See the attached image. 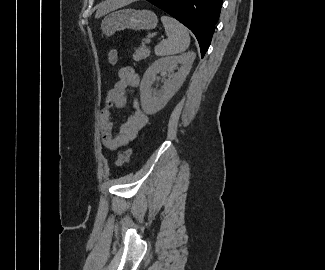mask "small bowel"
Listing matches in <instances>:
<instances>
[{
	"mask_svg": "<svg viewBox=\"0 0 325 270\" xmlns=\"http://www.w3.org/2000/svg\"><path fill=\"white\" fill-rule=\"evenodd\" d=\"M119 77V81L107 93L105 106L99 118L102 144L110 151H116L128 145L148 123L147 115L134 101L132 114L119 126L117 134L113 135L111 109L124 108L127 104L126 93L136 88L140 82L138 74L128 68L121 69Z\"/></svg>",
	"mask_w": 325,
	"mask_h": 270,
	"instance_id": "1",
	"label": "small bowel"
}]
</instances>
